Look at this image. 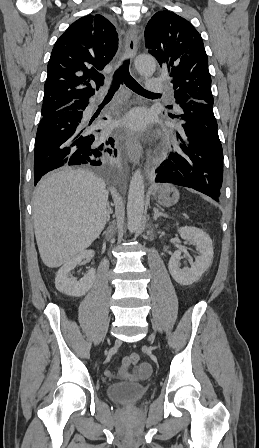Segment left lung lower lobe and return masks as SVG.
<instances>
[{
	"label": "left lung lower lobe",
	"mask_w": 259,
	"mask_h": 448,
	"mask_svg": "<svg viewBox=\"0 0 259 448\" xmlns=\"http://www.w3.org/2000/svg\"><path fill=\"white\" fill-rule=\"evenodd\" d=\"M172 118L180 121L178 146L155 170V182L173 183L219 200L223 179V151L213 104L190 100Z\"/></svg>",
	"instance_id": "1"
}]
</instances>
